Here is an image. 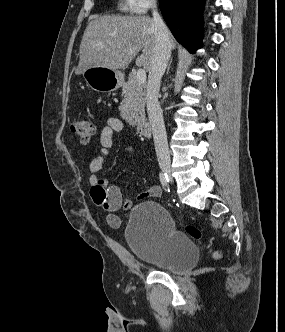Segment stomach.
<instances>
[{
    "label": "stomach",
    "mask_w": 285,
    "mask_h": 332,
    "mask_svg": "<svg viewBox=\"0 0 285 332\" xmlns=\"http://www.w3.org/2000/svg\"><path fill=\"white\" fill-rule=\"evenodd\" d=\"M87 85L97 92H112L122 83V73L104 67H91L83 72Z\"/></svg>",
    "instance_id": "1"
}]
</instances>
